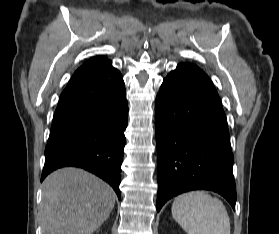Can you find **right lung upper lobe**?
Listing matches in <instances>:
<instances>
[{
  "instance_id": "right-lung-upper-lobe-1",
  "label": "right lung upper lobe",
  "mask_w": 279,
  "mask_h": 234,
  "mask_svg": "<svg viewBox=\"0 0 279 234\" xmlns=\"http://www.w3.org/2000/svg\"><path fill=\"white\" fill-rule=\"evenodd\" d=\"M111 63L110 60H108L106 57L103 56H97V57H92L88 61H86L80 68L76 70L74 75L72 76L70 81L77 80L79 78H82L84 76H87L105 65Z\"/></svg>"
}]
</instances>
